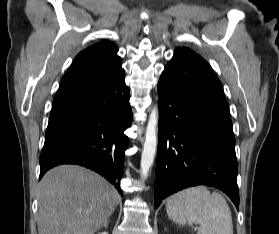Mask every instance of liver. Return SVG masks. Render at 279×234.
Wrapping results in <instances>:
<instances>
[{
    "instance_id": "obj_1",
    "label": "liver",
    "mask_w": 279,
    "mask_h": 234,
    "mask_svg": "<svg viewBox=\"0 0 279 234\" xmlns=\"http://www.w3.org/2000/svg\"><path fill=\"white\" fill-rule=\"evenodd\" d=\"M119 199L103 177L76 165L49 170L40 182L38 234H94Z\"/></svg>"
}]
</instances>
